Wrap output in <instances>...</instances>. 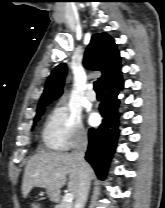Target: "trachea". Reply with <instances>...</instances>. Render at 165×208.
<instances>
[{
	"instance_id": "trachea-1",
	"label": "trachea",
	"mask_w": 165,
	"mask_h": 208,
	"mask_svg": "<svg viewBox=\"0 0 165 208\" xmlns=\"http://www.w3.org/2000/svg\"><path fill=\"white\" fill-rule=\"evenodd\" d=\"M94 89H95L96 92H102L101 84H100L99 81L94 82Z\"/></svg>"
}]
</instances>
